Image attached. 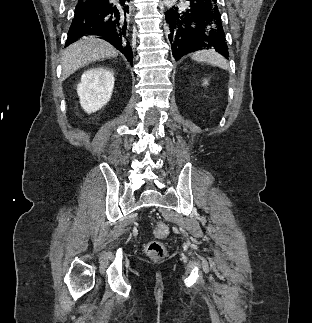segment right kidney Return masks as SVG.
Listing matches in <instances>:
<instances>
[{"label": "right kidney", "instance_id": "ca27d5eb", "mask_svg": "<svg viewBox=\"0 0 312 323\" xmlns=\"http://www.w3.org/2000/svg\"><path fill=\"white\" fill-rule=\"evenodd\" d=\"M114 82L113 72L108 68H90L82 74L77 94L80 106L87 114L97 112L110 102Z\"/></svg>", "mask_w": 312, "mask_h": 323}]
</instances>
